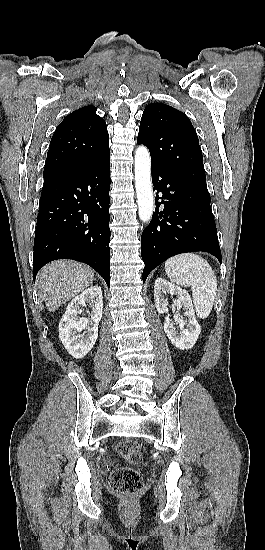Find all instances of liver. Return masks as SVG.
Here are the masks:
<instances>
[{"label":"liver","instance_id":"obj_1","mask_svg":"<svg viewBox=\"0 0 265 550\" xmlns=\"http://www.w3.org/2000/svg\"><path fill=\"white\" fill-rule=\"evenodd\" d=\"M93 270L71 260H57L38 273V287L50 312L78 295L93 283Z\"/></svg>","mask_w":265,"mask_h":550}]
</instances>
